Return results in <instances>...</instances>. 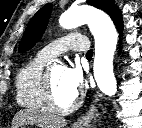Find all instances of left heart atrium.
<instances>
[{"label": "left heart atrium", "instance_id": "1", "mask_svg": "<svg viewBox=\"0 0 142 128\" xmlns=\"http://www.w3.org/2000/svg\"><path fill=\"white\" fill-rule=\"evenodd\" d=\"M63 82L71 92L78 95L84 85L81 69L78 66L66 68L63 73Z\"/></svg>", "mask_w": 142, "mask_h": 128}]
</instances>
